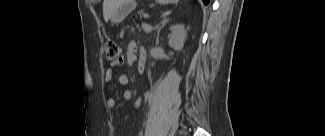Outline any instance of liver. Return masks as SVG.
Segmentation results:
<instances>
[{
	"label": "liver",
	"mask_w": 325,
	"mask_h": 136,
	"mask_svg": "<svg viewBox=\"0 0 325 136\" xmlns=\"http://www.w3.org/2000/svg\"><path fill=\"white\" fill-rule=\"evenodd\" d=\"M123 3V0H104L103 1V17L105 22L111 19L112 14Z\"/></svg>",
	"instance_id": "6515ba94"
}]
</instances>
